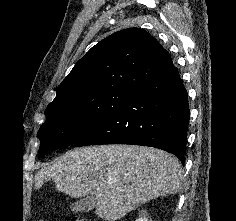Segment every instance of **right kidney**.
Listing matches in <instances>:
<instances>
[{"instance_id":"1","label":"right kidney","mask_w":236,"mask_h":221,"mask_svg":"<svg viewBox=\"0 0 236 221\" xmlns=\"http://www.w3.org/2000/svg\"><path fill=\"white\" fill-rule=\"evenodd\" d=\"M135 221H149L147 218H139V219H136Z\"/></svg>"}]
</instances>
